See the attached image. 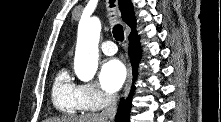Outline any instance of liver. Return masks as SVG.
<instances>
[{
  "label": "liver",
  "mask_w": 221,
  "mask_h": 122,
  "mask_svg": "<svg viewBox=\"0 0 221 122\" xmlns=\"http://www.w3.org/2000/svg\"><path fill=\"white\" fill-rule=\"evenodd\" d=\"M108 119L102 118L100 114H87L80 117L48 118L44 122H107Z\"/></svg>",
  "instance_id": "obj_1"
}]
</instances>
